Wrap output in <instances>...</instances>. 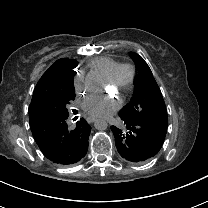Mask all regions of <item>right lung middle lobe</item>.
I'll use <instances>...</instances> for the list:
<instances>
[{"label":"right lung middle lobe","mask_w":208,"mask_h":208,"mask_svg":"<svg viewBox=\"0 0 208 208\" xmlns=\"http://www.w3.org/2000/svg\"><path fill=\"white\" fill-rule=\"evenodd\" d=\"M75 67L73 66L56 77L48 87L38 94V101L35 102L37 105L32 107L34 113L41 118L68 116L67 107L75 98L73 84ZM29 109H31V106Z\"/></svg>","instance_id":"1"}]
</instances>
